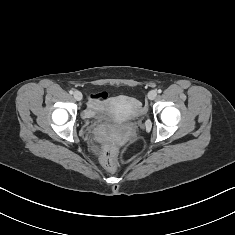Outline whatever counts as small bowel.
<instances>
[{
  "label": "small bowel",
  "instance_id": "obj_1",
  "mask_svg": "<svg viewBox=\"0 0 235 235\" xmlns=\"http://www.w3.org/2000/svg\"><path fill=\"white\" fill-rule=\"evenodd\" d=\"M103 98L105 99L106 96L105 95H101V96H93V97H91L90 100H89V109H90V111L92 110L94 102L97 101V100L103 99Z\"/></svg>",
  "mask_w": 235,
  "mask_h": 235
}]
</instances>
